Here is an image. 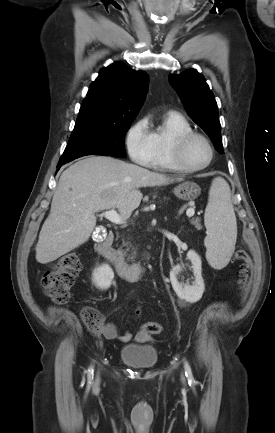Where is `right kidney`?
Returning <instances> with one entry per match:
<instances>
[{
	"instance_id": "right-kidney-1",
	"label": "right kidney",
	"mask_w": 275,
	"mask_h": 433,
	"mask_svg": "<svg viewBox=\"0 0 275 433\" xmlns=\"http://www.w3.org/2000/svg\"><path fill=\"white\" fill-rule=\"evenodd\" d=\"M114 272L109 265H102L93 271L92 279L94 284L104 290L108 289L113 281Z\"/></svg>"
}]
</instances>
